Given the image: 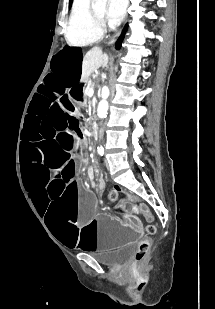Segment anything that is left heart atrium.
I'll return each instance as SVG.
<instances>
[{
  "label": "left heart atrium",
  "mask_w": 215,
  "mask_h": 309,
  "mask_svg": "<svg viewBox=\"0 0 215 309\" xmlns=\"http://www.w3.org/2000/svg\"><path fill=\"white\" fill-rule=\"evenodd\" d=\"M108 5L111 8L106 13V20L110 24L118 22L121 19L122 12L127 10L124 0H109Z\"/></svg>",
  "instance_id": "obj_1"
}]
</instances>
